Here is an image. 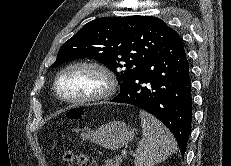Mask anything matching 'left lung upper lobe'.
Here are the masks:
<instances>
[{
  "mask_svg": "<svg viewBox=\"0 0 231 166\" xmlns=\"http://www.w3.org/2000/svg\"><path fill=\"white\" fill-rule=\"evenodd\" d=\"M176 33L152 16L104 17L88 22L59 49L51 67L92 58L113 70L123 90L133 75Z\"/></svg>",
  "mask_w": 231,
  "mask_h": 166,
  "instance_id": "5c2ea615",
  "label": "left lung upper lobe"
}]
</instances>
